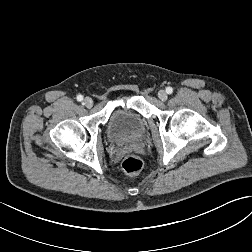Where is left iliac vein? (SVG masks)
<instances>
[{
  "label": "left iliac vein",
  "instance_id": "obj_1",
  "mask_svg": "<svg viewBox=\"0 0 252 252\" xmlns=\"http://www.w3.org/2000/svg\"><path fill=\"white\" fill-rule=\"evenodd\" d=\"M158 97H159V99H160L161 101H166L167 98H168V95H167V93H166L164 90H160V91L158 92Z\"/></svg>",
  "mask_w": 252,
  "mask_h": 252
}]
</instances>
